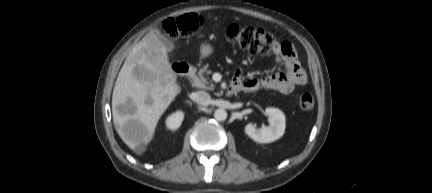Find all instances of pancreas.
<instances>
[{
	"instance_id": "cf45deb5",
	"label": "pancreas",
	"mask_w": 432,
	"mask_h": 193,
	"mask_svg": "<svg viewBox=\"0 0 432 193\" xmlns=\"http://www.w3.org/2000/svg\"><path fill=\"white\" fill-rule=\"evenodd\" d=\"M210 73L211 71L207 70L206 68L199 69L197 75H194L192 78L193 85L197 88L213 90L214 85L212 84L211 80L205 77V75L207 76Z\"/></svg>"
}]
</instances>
